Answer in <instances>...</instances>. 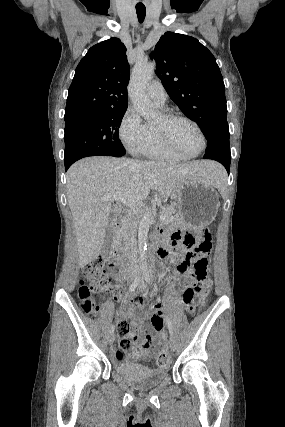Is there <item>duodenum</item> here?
Masks as SVG:
<instances>
[{
    "instance_id": "1",
    "label": "duodenum",
    "mask_w": 285,
    "mask_h": 427,
    "mask_svg": "<svg viewBox=\"0 0 285 427\" xmlns=\"http://www.w3.org/2000/svg\"><path fill=\"white\" fill-rule=\"evenodd\" d=\"M125 226H126V221L122 217L116 219V221L114 222L116 241H118L120 239V233L124 230ZM170 251H171V249H170L168 243L163 242L157 247L155 253L158 256V258H164ZM108 254L112 257L113 256L118 257L119 256V250L117 247H114L111 249V251Z\"/></svg>"
}]
</instances>
